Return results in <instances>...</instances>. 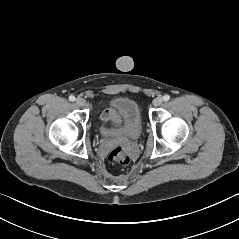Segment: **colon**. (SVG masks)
I'll return each instance as SVG.
<instances>
[{
    "instance_id": "5ec220e1",
    "label": "colon",
    "mask_w": 239,
    "mask_h": 239,
    "mask_svg": "<svg viewBox=\"0 0 239 239\" xmlns=\"http://www.w3.org/2000/svg\"><path fill=\"white\" fill-rule=\"evenodd\" d=\"M109 160L120 165H127L130 158L125 149L117 147L110 152Z\"/></svg>"
}]
</instances>
